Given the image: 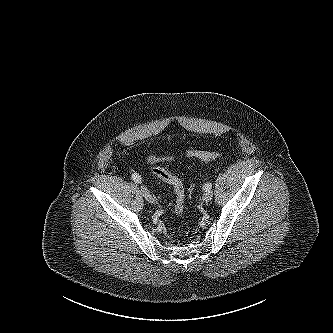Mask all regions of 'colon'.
<instances>
[{"instance_id": "5ec220e1", "label": "colon", "mask_w": 333, "mask_h": 333, "mask_svg": "<svg viewBox=\"0 0 333 333\" xmlns=\"http://www.w3.org/2000/svg\"><path fill=\"white\" fill-rule=\"evenodd\" d=\"M186 155L203 161H210L219 158L221 153L190 150ZM152 172L156 177L173 187L176 196L175 212L178 216H182L184 211L185 191L181 181L167 169L162 167H155L152 169Z\"/></svg>"}]
</instances>
